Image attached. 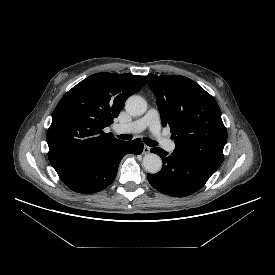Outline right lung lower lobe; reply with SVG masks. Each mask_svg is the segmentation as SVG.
I'll return each instance as SVG.
<instances>
[{"label":"right lung lower lobe","mask_w":275,"mask_h":275,"mask_svg":"<svg viewBox=\"0 0 275 275\" xmlns=\"http://www.w3.org/2000/svg\"><path fill=\"white\" fill-rule=\"evenodd\" d=\"M143 147L140 139L123 141L104 152L56 169V172L71 190L82 194L96 193L114 181L119 163L127 153L141 154Z\"/></svg>","instance_id":"obj_1"}]
</instances>
